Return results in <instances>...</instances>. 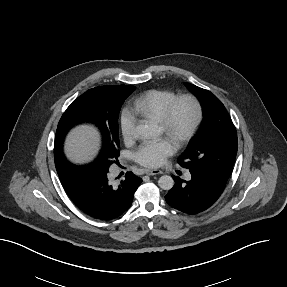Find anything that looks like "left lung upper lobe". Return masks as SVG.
Listing matches in <instances>:
<instances>
[{"mask_svg": "<svg viewBox=\"0 0 287 287\" xmlns=\"http://www.w3.org/2000/svg\"><path fill=\"white\" fill-rule=\"evenodd\" d=\"M185 85L200 100L204 120L198 136L178 158V163L227 181L237 154L235 126L214 94L190 83Z\"/></svg>", "mask_w": 287, "mask_h": 287, "instance_id": "left-lung-upper-lobe-1", "label": "left lung upper lobe"}]
</instances>
